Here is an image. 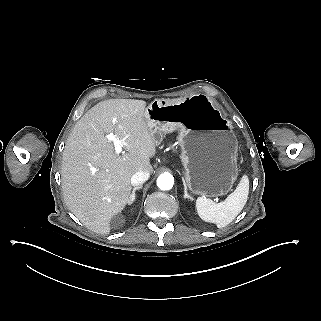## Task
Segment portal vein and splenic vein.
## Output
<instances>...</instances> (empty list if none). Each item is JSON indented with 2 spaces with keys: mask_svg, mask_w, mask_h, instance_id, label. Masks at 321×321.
<instances>
[{
  "mask_svg": "<svg viewBox=\"0 0 321 321\" xmlns=\"http://www.w3.org/2000/svg\"><path fill=\"white\" fill-rule=\"evenodd\" d=\"M106 142H112L114 144L115 150L117 153H120L122 151L123 147H130L131 144L124 140H119L118 136H116L114 133H109L106 135ZM220 199L218 197H213L212 198V203L213 204H220Z\"/></svg>",
  "mask_w": 321,
  "mask_h": 321,
  "instance_id": "18ae733b",
  "label": "portal vein and splenic vein"
}]
</instances>
